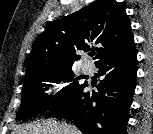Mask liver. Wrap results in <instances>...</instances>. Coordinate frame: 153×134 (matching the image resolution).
Wrapping results in <instances>:
<instances>
[{
	"label": "liver",
	"mask_w": 153,
	"mask_h": 134,
	"mask_svg": "<svg viewBox=\"0 0 153 134\" xmlns=\"http://www.w3.org/2000/svg\"><path fill=\"white\" fill-rule=\"evenodd\" d=\"M13 134H80V131L67 123L47 120L26 125L15 130Z\"/></svg>",
	"instance_id": "1"
}]
</instances>
